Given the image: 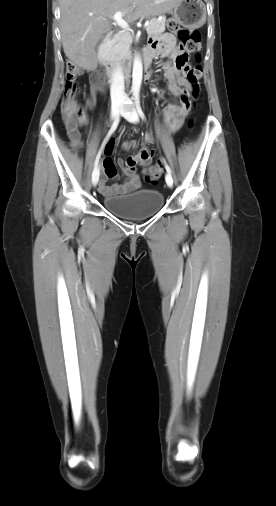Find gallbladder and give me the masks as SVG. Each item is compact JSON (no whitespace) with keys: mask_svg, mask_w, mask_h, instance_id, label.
<instances>
[{"mask_svg":"<svg viewBox=\"0 0 276 506\" xmlns=\"http://www.w3.org/2000/svg\"><path fill=\"white\" fill-rule=\"evenodd\" d=\"M102 42V39L99 41L98 45Z\"/></svg>","mask_w":276,"mask_h":506,"instance_id":"bac80fb5","label":"gallbladder"}]
</instances>
